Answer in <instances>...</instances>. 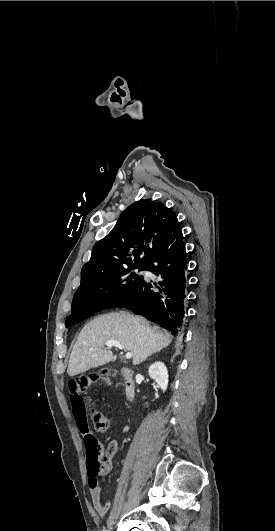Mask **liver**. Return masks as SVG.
<instances>
[{
	"mask_svg": "<svg viewBox=\"0 0 275 531\" xmlns=\"http://www.w3.org/2000/svg\"><path fill=\"white\" fill-rule=\"evenodd\" d=\"M171 339L170 333L152 331L143 317H132L124 311L100 315L79 333L70 355L67 373L69 377H74L94 367L116 361L117 355L104 349L106 341H118L124 351L132 353L133 365H140L149 355L168 347Z\"/></svg>",
	"mask_w": 275,
	"mask_h": 531,
	"instance_id": "liver-1",
	"label": "liver"
}]
</instances>
